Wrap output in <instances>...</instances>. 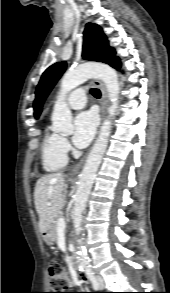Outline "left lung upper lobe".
Returning a JSON list of instances; mask_svg holds the SVG:
<instances>
[{"instance_id":"5c2ea615","label":"left lung upper lobe","mask_w":170,"mask_h":293,"mask_svg":"<svg viewBox=\"0 0 170 293\" xmlns=\"http://www.w3.org/2000/svg\"><path fill=\"white\" fill-rule=\"evenodd\" d=\"M82 57L87 60L100 61L111 64L115 56V50L109 46L102 29L96 25L88 23L84 31V42ZM66 69L65 62H57L46 69L37 86L36 99L34 101V115L38 118L43 102L55 83Z\"/></svg>"}]
</instances>
